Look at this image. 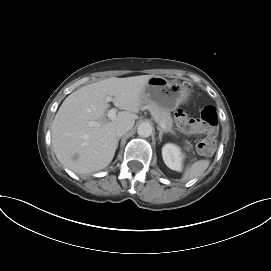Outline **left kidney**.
Here are the masks:
<instances>
[{"instance_id": "5707ae66", "label": "left kidney", "mask_w": 271, "mask_h": 271, "mask_svg": "<svg viewBox=\"0 0 271 271\" xmlns=\"http://www.w3.org/2000/svg\"><path fill=\"white\" fill-rule=\"evenodd\" d=\"M162 157L167 165L172 170L180 172L182 170L183 153L181 149L172 143H167L162 148Z\"/></svg>"}]
</instances>
